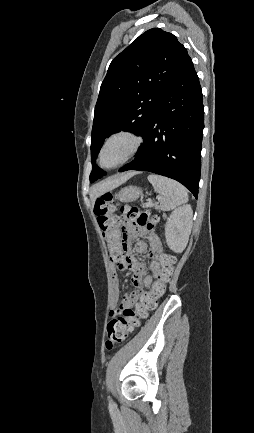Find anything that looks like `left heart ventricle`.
<instances>
[{"label": "left heart ventricle", "mask_w": 254, "mask_h": 433, "mask_svg": "<svg viewBox=\"0 0 254 433\" xmlns=\"http://www.w3.org/2000/svg\"><path fill=\"white\" fill-rule=\"evenodd\" d=\"M132 142L125 137L115 138L108 143L103 155L102 164L104 166H113L120 162L131 149Z\"/></svg>", "instance_id": "1"}]
</instances>
